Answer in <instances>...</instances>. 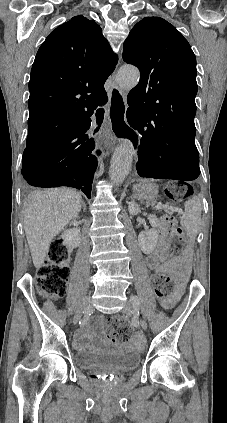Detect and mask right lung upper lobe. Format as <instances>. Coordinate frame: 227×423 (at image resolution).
<instances>
[{"label":"right lung upper lobe","instance_id":"obj_1","mask_svg":"<svg viewBox=\"0 0 227 423\" xmlns=\"http://www.w3.org/2000/svg\"><path fill=\"white\" fill-rule=\"evenodd\" d=\"M118 56L93 20L75 16L57 27L42 43L29 81V109L37 106L105 104L104 83L115 69ZM72 124L52 117L28 120L27 147L41 143Z\"/></svg>","mask_w":227,"mask_h":423}]
</instances>
